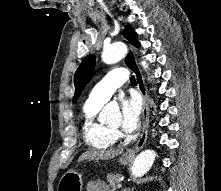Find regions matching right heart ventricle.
<instances>
[{"label": "right heart ventricle", "instance_id": "right-heart-ventricle-1", "mask_svg": "<svg viewBox=\"0 0 221 191\" xmlns=\"http://www.w3.org/2000/svg\"><path fill=\"white\" fill-rule=\"evenodd\" d=\"M104 103L86 100L82 107V134L85 143L95 149H107L114 145L116 138L105 124L97 119Z\"/></svg>", "mask_w": 221, "mask_h": 191}]
</instances>
